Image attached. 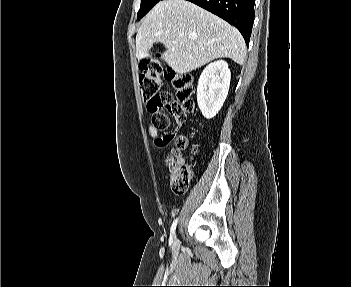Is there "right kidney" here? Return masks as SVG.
Instances as JSON below:
<instances>
[{
	"instance_id": "obj_1",
	"label": "right kidney",
	"mask_w": 351,
	"mask_h": 287,
	"mask_svg": "<svg viewBox=\"0 0 351 287\" xmlns=\"http://www.w3.org/2000/svg\"><path fill=\"white\" fill-rule=\"evenodd\" d=\"M230 79V69L224 60L214 61L204 68L198 80L197 103L206 119L216 116L223 106Z\"/></svg>"
}]
</instances>
